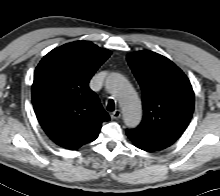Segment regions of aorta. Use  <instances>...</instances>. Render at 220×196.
<instances>
[{
    "mask_svg": "<svg viewBox=\"0 0 220 196\" xmlns=\"http://www.w3.org/2000/svg\"><path fill=\"white\" fill-rule=\"evenodd\" d=\"M108 90L118 99L123 111V120L127 127H136L142 116L140 99L128 82L120 74H112L106 82Z\"/></svg>",
    "mask_w": 220,
    "mask_h": 196,
    "instance_id": "762f6f07",
    "label": "aorta"
}]
</instances>
